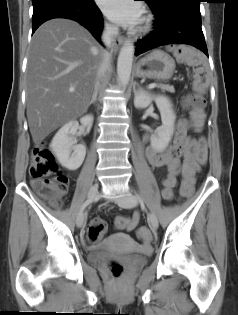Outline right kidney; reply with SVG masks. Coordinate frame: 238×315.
Here are the masks:
<instances>
[{
  "label": "right kidney",
  "mask_w": 238,
  "mask_h": 315,
  "mask_svg": "<svg viewBox=\"0 0 238 315\" xmlns=\"http://www.w3.org/2000/svg\"><path fill=\"white\" fill-rule=\"evenodd\" d=\"M92 122V115H86L80 119V123L85 127H90ZM78 128L79 123L76 120L66 123L58 130L50 144L59 163L68 170L78 169L86 155V147L83 144H75L74 135Z\"/></svg>",
  "instance_id": "1"
}]
</instances>
